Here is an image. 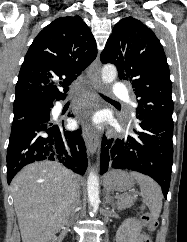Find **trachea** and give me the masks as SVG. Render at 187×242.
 <instances>
[{
  "label": "trachea",
  "instance_id": "obj_1",
  "mask_svg": "<svg viewBox=\"0 0 187 242\" xmlns=\"http://www.w3.org/2000/svg\"><path fill=\"white\" fill-rule=\"evenodd\" d=\"M105 99H110V98H108V97H106V96H103Z\"/></svg>",
  "mask_w": 187,
  "mask_h": 242
}]
</instances>
